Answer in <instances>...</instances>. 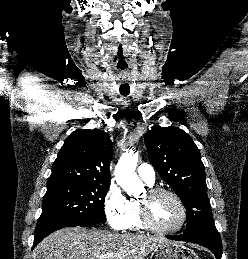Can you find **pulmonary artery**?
Masks as SVG:
<instances>
[{
  "instance_id": "pulmonary-artery-1",
  "label": "pulmonary artery",
  "mask_w": 248,
  "mask_h": 259,
  "mask_svg": "<svg viewBox=\"0 0 248 259\" xmlns=\"http://www.w3.org/2000/svg\"><path fill=\"white\" fill-rule=\"evenodd\" d=\"M137 173L139 177L149 185L155 182V171L149 164L143 163L138 167Z\"/></svg>"
}]
</instances>
